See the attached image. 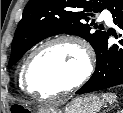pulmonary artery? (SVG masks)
<instances>
[{"label":"pulmonary artery","mask_w":123,"mask_h":113,"mask_svg":"<svg viewBox=\"0 0 123 113\" xmlns=\"http://www.w3.org/2000/svg\"><path fill=\"white\" fill-rule=\"evenodd\" d=\"M101 18L104 19L108 24H112V16L111 13L108 10H104L101 14Z\"/></svg>","instance_id":"e3ab8cb5"}]
</instances>
